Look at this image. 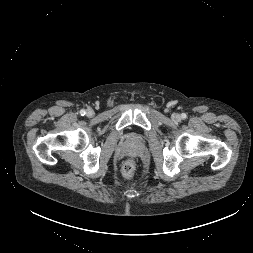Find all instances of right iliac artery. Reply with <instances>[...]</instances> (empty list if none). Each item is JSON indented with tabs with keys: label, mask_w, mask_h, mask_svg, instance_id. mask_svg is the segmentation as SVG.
I'll list each match as a JSON object with an SVG mask.
<instances>
[{
	"label": "right iliac artery",
	"mask_w": 253,
	"mask_h": 253,
	"mask_svg": "<svg viewBox=\"0 0 253 253\" xmlns=\"http://www.w3.org/2000/svg\"><path fill=\"white\" fill-rule=\"evenodd\" d=\"M85 113H86V111H85L84 109H82V110L80 111V114H81V115H85Z\"/></svg>",
	"instance_id": "obj_1"
}]
</instances>
